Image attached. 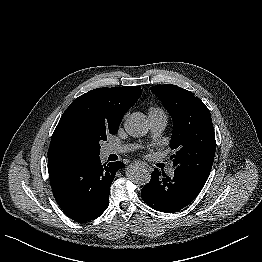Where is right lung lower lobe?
Here are the masks:
<instances>
[{
	"instance_id": "98d812e1",
	"label": "right lung lower lobe",
	"mask_w": 262,
	"mask_h": 262,
	"mask_svg": "<svg viewBox=\"0 0 262 262\" xmlns=\"http://www.w3.org/2000/svg\"><path fill=\"white\" fill-rule=\"evenodd\" d=\"M122 162L101 164L99 155L49 159L53 195L64 213L76 222L94 220L109 205L110 185Z\"/></svg>"
}]
</instances>
